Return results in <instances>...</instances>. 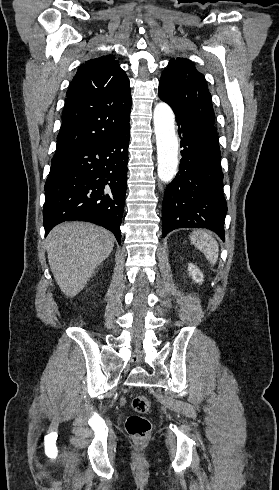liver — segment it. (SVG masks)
I'll return each mask as SVG.
<instances>
[{
	"instance_id": "1",
	"label": "liver",
	"mask_w": 279,
	"mask_h": 490,
	"mask_svg": "<svg viewBox=\"0 0 279 490\" xmlns=\"http://www.w3.org/2000/svg\"><path fill=\"white\" fill-rule=\"evenodd\" d=\"M114 240L108 230L86 222H65L51 230L47 238L48 262L67 298H74L85 288L94 270L110 256Z\"/></svg>"
}]
</instances>
